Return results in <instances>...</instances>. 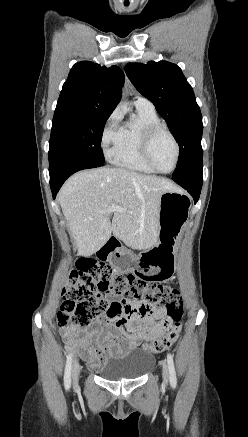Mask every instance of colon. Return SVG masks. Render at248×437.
<instances>
[{
    "label": "colon",
    "instance_id": "5ec220e1",
    "mask_svg": "<svg viewBox=\"0 0 248 437\" xmlns=\"http://www.w3.org/2000/svg\"><path fill=\"white\" fill-rule=\"evenodd\" d=\"M104 257L84 258L71 271L63 293L57 323L61 328H83L94 324L108 305L104 299L95 298L97 291L113 294H129L130 299L162 305L166 310L163 326L165 333L145 345V349L158 353L170 347L178 338L183 316V300L180 292L168 285L146 286L144 279L134 274L114 272ZM121 316V314H120Z\"/></svg>",
    "mask_w": 248,
    "mask_h": 437
}]
</instances>
